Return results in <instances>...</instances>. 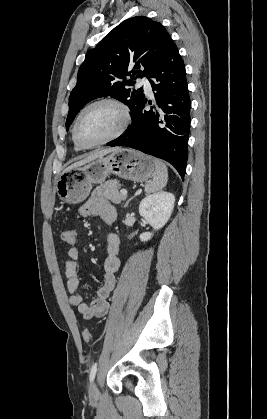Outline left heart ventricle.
Segmentation results:
<instances>
[{
  "mask_svg": "<svg viewBox=\"0 0 267 419\" xmlns=\"http://www.w3.org/2000/svg\"><path fill=\"white\" fill-rule=\"evenodd\" d=\"M121 122L118 109L110 104H100L88 109L78 126V137L84 144H94L113 133Z\"/></svg>",
  "mask_w": 267,
  "mask_h": 419,
  "instance_id": "obj_1",
  "label": "left heart ventricle"
}]
</instances>
